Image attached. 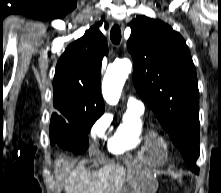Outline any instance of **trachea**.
Here are the masks:
<instances>
[{"mask_svg": "<svg viewBox=\"0 0 221 193\" xmlns=\"http://www.w3.org/2000/svg\"><path fill=\"white\" fill-rule=\"evenodd\" d=\"M110 39L114 44H119L121 41V31L118 25H114L110 31Z\"/></svg>", "mask_w": 221, "mask_h": 193, "instance_id": "trachea-1", "label": "trachea"}]
</instances>
